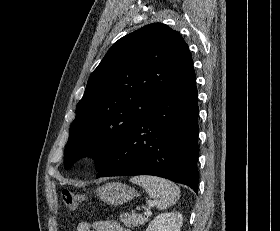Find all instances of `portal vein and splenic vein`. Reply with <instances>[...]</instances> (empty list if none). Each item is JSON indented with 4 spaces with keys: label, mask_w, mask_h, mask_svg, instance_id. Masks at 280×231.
<instances>
[{
    "label": "portal vein and splenic vein",
    "mask_w": 280,
    "mask_h": 231,
    "mask_svg": "<svg viewBox=\"0 0 280 231\" xmlns=\"http://www.w3.org/2000/svg\"><path fill=\"white\" fill-rule=\"evenodd\" d=\"M145 215H152V211H151V209H146V211H145Z\"/></svg>",
    "instance_id": "obj_1"
}]
</instances>
